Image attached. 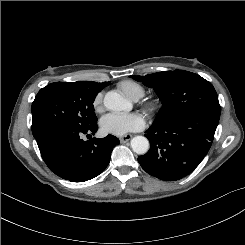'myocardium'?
I'll use <instances>...</instances> for the list:
<instances>
[{
  "instance_id": "f54148a6",
  "label": "myocardium",
  "mask_w": 245,
  "mask_h": 245,
  "mask_svg": "<svg viewBox=\"0 0 245 245\" xmlns=\"http://www.w3.org/2000/svg\"><path fill=\"white\" fill-rule=\"evenodd\" d=\"M143 108L148 114H155L161 108V102L157 98H149L143 102Z\"/></svg>"
}]
</instances>
